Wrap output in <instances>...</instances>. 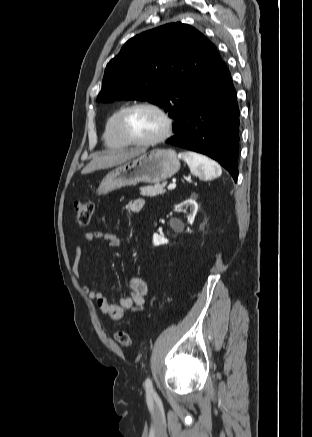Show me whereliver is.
<instances>
[{
	"label": "liver",
	"instance_id": "liver-1",
	"mask_svg": "<svg viewBox=\"0 0 312 437\" xmlns=\"http://www.w3.org/2000/svg\"><path fill=\"white\" fill-rule=\"evenodd\" d=\"M142 149L120 150L109 152L105 155H96L89 164L81 171L82 174H88L100 169L111 168L144 153Z\"/></svg>",
	"mask_w": 312,
	"mask_h": 437
}]
</instances>
